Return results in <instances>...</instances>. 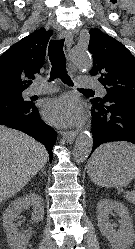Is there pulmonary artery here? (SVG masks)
Masks as SVG:
<instances>
[{"instance_id": "obj_1", "label": "pulmonary artery", "mask_w": 135, "mask_h": 249, "mask_svg": "<svg viewBox=\"0 0 135 249\" xmlns=\"http://www.w3.org/2000/svg\"><path fill=\"white\" fill-rule=\"evenodd\" d=\"M77 85L86 88H97L101 91L102 94H106V90L94 77L90 76L77 77ZM55 91H57V87L51 83L35 84L26 90L25 95L29 97L39 94H50Z\"/></svg>"}]
</instances>
